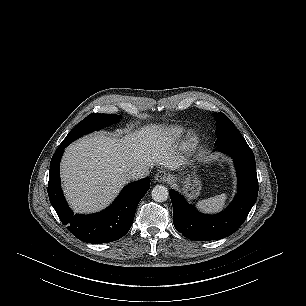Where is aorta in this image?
<instances>
[{
    "mask_svg": "<svg viewBox=\"0 0 306 306\" xmlns=\"http://www.w3.org/2000/svg\"><path fill=\"white\" fill-rule=\"evenodd\" d=\"M151 196L156 202H164L168 199L169 192L165 186L156 185L151 191Z\"/></svg>",
    "mask_w": 306,
    "mask_h": 306,
    "instance_id": "762f6f07",
    "label": "aorta"
}]
</instances>
